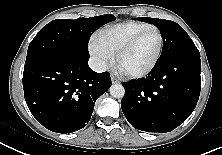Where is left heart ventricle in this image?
<instances>
[{
  "label": "left heart ventricle",
  "instance_id": "obj_1",
  "mask_svg": "<svg viewBox=\"0 0 222 155\" xmlns=\"http://www.w3.org/2000/svg\"><path fill=\"white\" fill-rule=\"evenodd\" d=\"M160 44V37L156 31L144 35L133 48L124 53L118 65L126 73L140 72L148 68L154 61Z\"/></svg>",
  "mask_w": 222,
  "mask_h": 155
}]
</instances>
